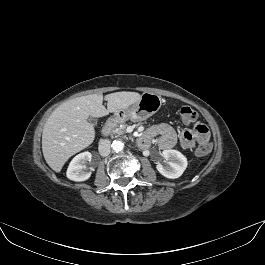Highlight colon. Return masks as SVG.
<instances>
[{
	"instance_id": "5ec220e1",
	"label": "colon",
	"mask_w": 265,
	"mask_h": 265,
	"mask_svg": "<svg viewBox=\"0 0 265 265\" xmlns=\"http://www.w3.org/2000/svg\"><path fill=\"white\" fill-rule=\"evenodd\" d=\"M180 116L183 121L187 123L194 122L197 118L196 112L188 107L184 106L180 109ZM211 147L209 144H201L197 149H196V154L198 156H204L210 151Z\"/></svg>"
}]
</instances>
